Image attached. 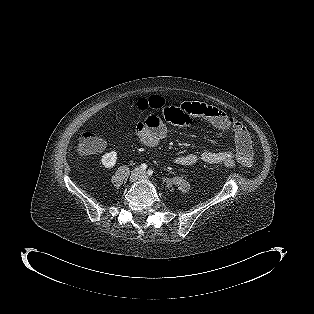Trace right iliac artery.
<instances>
[{
  "label": "right iliac artery",
  "instance_id": "82829eb1",
  "mask_svg": "<svg viewBox=\"0 0 314 314\" xmlns=\"http://www.w3.org/2000/svg\"><path fill=\"white\" fill-rule=\"evenodd\" d=\"M146 168H147V165H146V164H142V165H141V169H142V170H146Z\"/></svg>",
  "mask_w": 314,
  "mask_h": 314
}]
</instances>
